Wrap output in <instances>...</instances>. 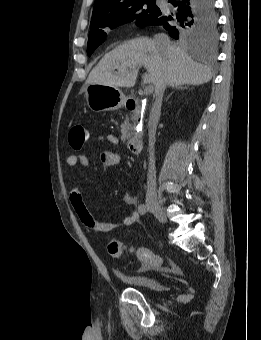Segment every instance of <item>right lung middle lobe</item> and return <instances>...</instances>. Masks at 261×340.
<instances>
[{
	"instance_id": "1",
	"label": "right lung middle lobe",
	"mask_w": 261,
	"mask_h": 340,
	"mask_svg": "<svg viewBox=\"0 0 261 340\" xmlns=\"http://www.w3.org/2000/svg\"><path fill=\"white\" fill-rule=\"evenodd\" d=\"M160 8L155 0H143L125 6L116 13L108 15L100 20L91 21L88 38L87 54L90 56L94 50L106 39L103 28H115L121 24L136 21L140 27L150 25L157 17ZM176 37L181 40H215L217 38V16L216 14L199 15L191 13L183 20L175 24Z\"/></svg>"
}]
</instances>
